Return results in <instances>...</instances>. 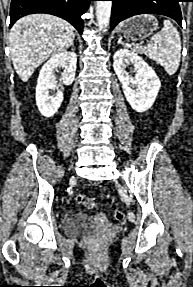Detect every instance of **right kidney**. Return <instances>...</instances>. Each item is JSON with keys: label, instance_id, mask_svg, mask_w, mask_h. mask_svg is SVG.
I'll return each mask as SVG.
<instances>
[{"label": "right kidney", "instance_id": "right-kidney-1", "mask_svg": "<svg viewBox=\"0 0 193 287\" xmlns=\"http://www.w3.org/2000/svg\"><path fill=\"white\" fill-rule=\"evenodd\" d=\"M77 55L74 52H62L52 56L42 67L36 86V104L44 117H52L61 106L63 93L58 91L54 98L49 95L50 89L57 85L54 71L63 68L62 83L70 85L74 81Z\"/></svg>", "mask_w": 193, "mask_h": 287}]
</instances>
